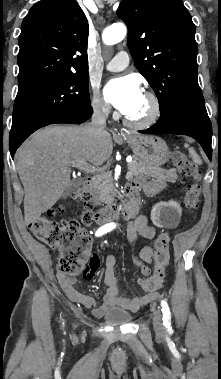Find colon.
Instances as JSON below:
<instances>
[{"mask_svg":"<svg viewBox=\"0 0 221 379\" xmlns=\"http://www.w3.org/2000/svg\"><path fill=\"white\" fill-rule=\"evenodd\" d=\"M172 160L178 170L192 180L187 186L185 206L189 211H194L201 197L199 167L180 152H175ZM72 198L81 206L79 220L55 221L47 216H40L30 223L29 228L40 241L60 251L58 262L60 272L79 275L83 274L82 268L88 264L91 242L87 227L93 221V204L90 191L82 187L73 191ZM170 242L169 233L163 232L158 235L154 245V273L137 281L144 291L154 292L163 285L166 268L170 262Z\"/></svg>","mask_w":221,"mask_h":379,"instance_id":"5ec220e1","label":"colon"}]
</instances>
